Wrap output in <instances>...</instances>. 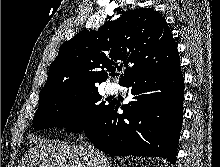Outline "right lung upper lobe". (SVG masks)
<instances>
[{
    "label": "right lung upper lobe",
    "mask_w": 220,
    "mask_h": 167,
    "mask_svg": "<svg viewBox=\"0 0 220 167\" xmlns=\"http://www.w3.org/2000/svg\"><path fill=\"white\" fill-rule=\"evenodd\" d=\"M180 63L176 43L165 18L151 8H137L105 23L97 31L79 32L59 49L51 64L40 102L65 90L96 87L109 72L127 67L119 80L169 69Z\"/></svg>",
    "instance_id": "1"
}]
</instances>
